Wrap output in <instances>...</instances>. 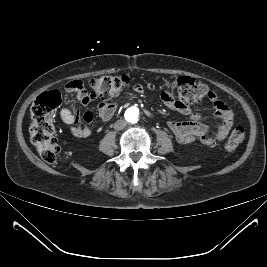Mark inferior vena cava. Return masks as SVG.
Returning a JSON list of instances; mask_svg holds the SVG:
<instances>
[{
    "mask_svg": "<svg viewBox=\"0 0 267 267\" xmlns=\"http://www.w3.org/2000/svg\"><path fill=\"white\" fill-rule=\"evenodd\" d=\"M127 126V122L124 119L117 120L114 123V129L115 130H122Z\"/></svg>",
    "mask_w": 267,
    "mask_h": 267,
    "instance_id": "602c4592",
    "label": "inferior vena cava"
}]
</instances>
